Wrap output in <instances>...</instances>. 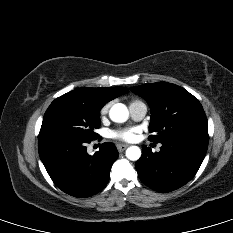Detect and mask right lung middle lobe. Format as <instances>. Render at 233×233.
Listing matches in <instances>:
<instances>
[{"label":"right lung middle lobe","instance_id":"right-lung-middle-lobe-1","mask_svg":"<svg viewBox=\"0 0 233 233\" xmlns=\"http://www.w3.org/2000/svg\"><path fill=\"white\" fill-rule=\"evenodd\" d=\"M100 110L68 92L48 107L39 138L61 136L90 141L94 138V130L100 126Z\"/></svg>","mask_w":233,"mask_h":233}]
</instances>
